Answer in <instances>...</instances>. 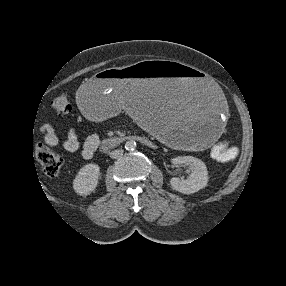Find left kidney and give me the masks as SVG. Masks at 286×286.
Masks as SVG:
<instances>
[{"mask_svg":"<svg viewBox=\"0 0 286 286\" xmlns=\"http://www.w3.org/2000/svg\"><path fill=\"white\" fill-rule=\"evenodd\" d=\"M176 166L186 165L190 169L187 179L173 177L170 179L171 187L183 194H192L206 187L208 171L203 161L193 156H178L171 160Z\"/></svg>","mask_w":286,"mask_h":286,"instance_id":"1","label":"left kidney"}]
</instances>
